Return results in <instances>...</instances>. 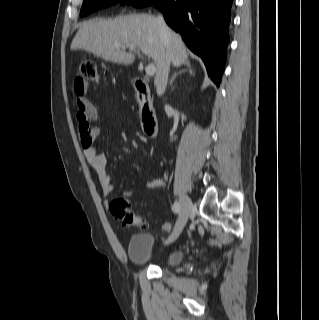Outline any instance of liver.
I'll return each instance as SVG.
<instances>
[{"mask_svg":"<svg viewBox=\"0 0 319 320\" xmlns=\"http://www.w3.org/2000/svg\"><path fill=\"white\" fill-rule=\"evenodd\" d=\"M163 38L157 18L149 14H133L114 19H92L84 22L76 33L71 50H85L113 63L130 65L135 55L125 47L141 50L156 64L155 85L158 84L166 60L167 48L174 66L188 62L186 47L179 34L171 31ZM119 45L120 48L115 46Z\"/></svg>","mask_w":319,"mask_h":320,"instance_id":"obj_1","label":"liver"}]
</instances>
